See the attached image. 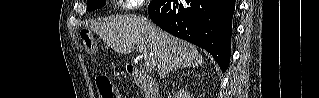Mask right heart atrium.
<instances>
[{
    "instance_id": "1",
    "label": "right heart atrium",
    "mask_w": 319,
    "mask_h": 98,
    "mask_svg": "<svg viewBox=\"0 0 319 98\" xmlns=\"http://www.w3.org/2000/svg\"><path fill=\"white\" fill-rule=\"evenodd\" d=\"M124 3H126L128 8H135L137 6H140L142 4H144V1H139V0H127L124 1Z\"/></svg>"
}]
</instances>
